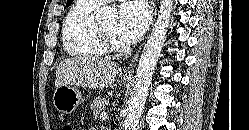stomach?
<instances>
[{"label": "stomach", "mask_w": 249, "mask_h": 130, "mask_svg": "<svg viewBox=\"0 0 249 130\" xmlns=\"http://www.w3.org/2000/svg\"><path fill=\"white\" fill-rule=\"evenodd\" d=\"M127 78H120V84L124 85ZM83 96L79 89L71 85H63L55 89L53 104L63 114H71L83 102Z\"/></svg>", "instance_id": "0dacf381"}]
</instances>
